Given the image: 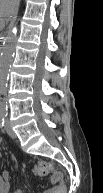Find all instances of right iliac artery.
I'll return each instance as SVG.
<instances>
[{"label": "right iliac artery", "mask_w": 103, "mask_h": 193, "mask_svg": "<svg viewBox=\"0 0 103 193\" xmlns=\"http://www.w3.org/2000/svg\"><path fill=\"white\" fill-rule=\"evenodd\" d=\"M5 114H1L0 115V126L1 127H4V124H5Z\"/></svg>", "instance_id": "1"}]
</instances>
